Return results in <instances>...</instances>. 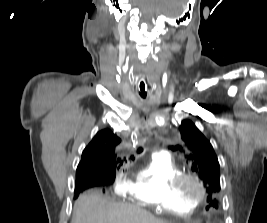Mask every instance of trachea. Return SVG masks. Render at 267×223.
Returning a JSON list of instances; mask_svg holds the SVG:
<instances>
[{
	"mask_svg": "<svg viewBox=\"0 0 267 223\" xmlns=\"http://www.w3.org/2000/svg\"><path fill=\"white\" fill-rule=\"evenodd\" d=\"M146 85H147V82L145 81V79L141 78L139 81H138V84H137V88H138V91H139V95L141 98L145 99L147 94H146V91H145V88H146Z\"/></svg>",
	"mask_w": 267,
	"mask_h": 223,
	"instance_id": "3493384b",
	"label": "trachea"
}]
</instances>
